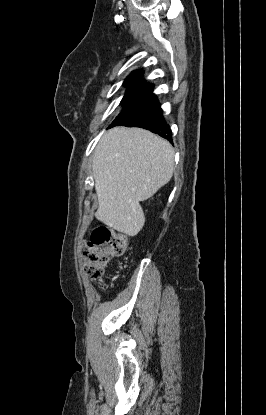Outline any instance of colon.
I'll list each match as a JSON object with an SVG mask.
<instances>
[{
    "mask_svg": "<svg viewBox=\"0 0 266 415\" xmlns=\"http://www.w3.org/2000/svg\"><path fill=\"white\" fill-rule=\"evenodd\" d=\"M129 237L106 227H96L83 244L85 272L99 281L105 274L109 261L125 253Z\"/></svg>",
    "mask_w": 266,
    "mask_h": 415,
    "instance_id": "5ec220e1",
    "label": "colon"
}]
</instances>
